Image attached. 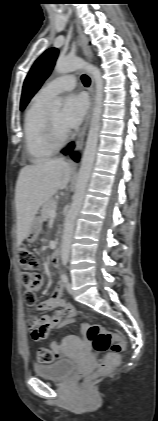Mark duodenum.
<instances>
[{
  "label": "duodenum",
  "instance_id": "1",
  "mask_svg": "<svg viewBox=\"0 0 158 421\" xmlns=\"http://www.w3.org/2000/svg\"><path fill=\"white\" fill-rule=\"evenodd\" d=\"M61 260V252L59 249H56L51 256V262L53 266L57 267Z\"/></svg>",
  "mask_w": 158,
  "mask_h": 421
}]
</instances>
